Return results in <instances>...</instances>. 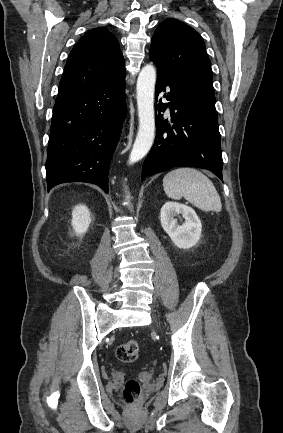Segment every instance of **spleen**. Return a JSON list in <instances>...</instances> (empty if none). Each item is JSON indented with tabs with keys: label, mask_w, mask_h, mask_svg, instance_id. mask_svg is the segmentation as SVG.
I'll list each match as a JSON object with an SVG mask.
<instances>
[{
	"label": "spleen",
	"mask_w": 283,
	"mask_h": 433,
	"mask_svg": "<svg viewBox=\"0 0 283 433\" xmlns=\"http://www.w3.org/2000/svg\"><path fill=\"white\" fill-rule=\"evenodd\" d=\"M164 190L169 198L182 196L201 210H222L221 198L206 174L195 168H175L163 178Z\"/></svg>",
	"instance_id": "obj_1"
}]
</instances>
